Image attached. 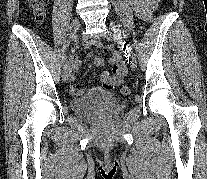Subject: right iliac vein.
<instances>
[{
    "mask_svg": "<svg viewBox=\"0 0 207 179\" xmlns=\"http://www.w3.org/2000/svg\"><path fill=\"white\" fill-rule=\"evenodd\" d=\"M79 25H80L79 19L75 18L72 21V24H71L70 30H69L68 40L70 42L75 40L76 35H77V31L79 29ZM69 77H70V71H69L68 66L66 65L65 67H63L62 79L64 82H66V81H68Z\"/></svg>",
    "mask_w": 207,
    "mask_h": 179,
    "instance_id": "63e3f726",
    "label": "right iliac vein"
}]
</instances>
